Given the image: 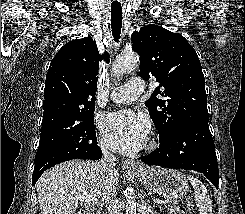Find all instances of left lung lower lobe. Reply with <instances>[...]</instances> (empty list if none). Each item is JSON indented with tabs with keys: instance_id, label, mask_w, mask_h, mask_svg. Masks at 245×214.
Masks as SVG:
<instances>
[{
	"instance_id": "0a47b994",
	"label": "left lung lower lobe",
	"mask_w": 245,
	"mask_h": 214,
	"mask_svg": "<svg viewBox=\"0 0 245 214\" xmlns=\"http://www.w3.org/2000/svg\"><path fill=\"white\" fill-rule=\"evenodd\" d=\"M141 160L149 165L201 172L218 189L217 157L208 123L187 125Z\"/></svg>"
}]
</instances>
